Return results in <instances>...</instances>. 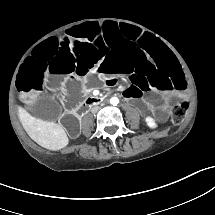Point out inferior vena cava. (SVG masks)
<instances>
[{"mask_svg": "<svg viewBox=\"0 0 215 215\" xmlns=\"http://www.w3.org/2000/svg\"><path fill=\"white\" fill-rule=\"evenodd\" d=\"M99 109H100L99 106H94V107L91 108V113L95 114V113L98 112Z\"/></svg>", "mask_w": 215, "mask_h": 215, "instance_id": "602c4592", "label": "inferior vena cava"}]
</instances>
